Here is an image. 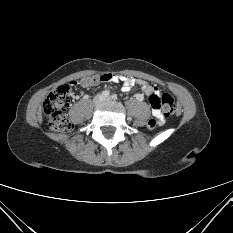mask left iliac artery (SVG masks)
<instances>
[{
	"label": "left iliac artery",
	"instance_id": "left-iliac-artery-1",
	"mask_svg": "<svg viewBox=\"0 0 233 233\" xmlns=\"http://www.w3.org/2000/svg\"><path fill=\"white\" fill-rule=\"evenodd\" d=\"M112 99H113V100H117V95H116V94H113V95H112Z\"/></svg>",
	"mask_w": 233,
	"mask_h": 233
}]
</instances>
